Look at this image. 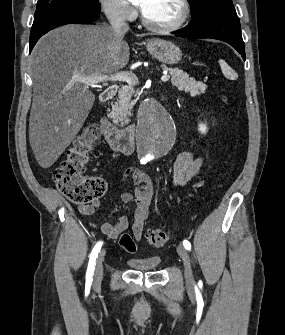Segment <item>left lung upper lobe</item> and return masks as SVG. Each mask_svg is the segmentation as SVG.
Returning a JSON list of instances; mask_svg holds the SVG:
<instances>
[{
	"label": "left lung upper lobe",
	"mask_w": 285,
	"mask_h": 335,
	"mask_svg": "<svg viewBox=\"0 0 285 335\" xmlns=\"http://www.w3.org/2000/svg\"><path fill=\"white\" fill-rule=\"evenodd\" d=\"M192 7V17L210 6H233L232 0H188Z\"/></svg>",
	"instance_id": "5c2ea615"
}]
</instances>
